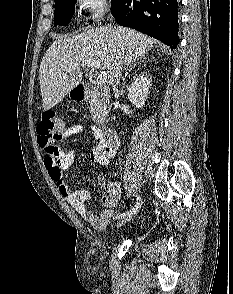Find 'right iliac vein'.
<instances>
[{
	"mask_svg": "<svg viewBox=\"0 0 233 294\" xmlns=\"http://www.w3.org/2000/svg\"><path fill=\"white\" fill-rule=\"evenodd\" d=\"M131 217H132V215H127V216L121 218L117 223V228H120L124 224H126L131 219Z\"/></svg>",
	"mask_w": 233,
	"mask_h": 294,
	"instance_id": "1",
	"label": "right iliac vein"
}]
</instances>
